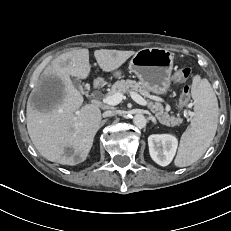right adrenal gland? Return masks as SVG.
Returning a JSON list of instances; mask_svg holds the SVG:
<instances>
[{
	"label": "right adrenal gland",
	"mask_w": 231,
	"mask_h": 231,
	"mask_svg": "<svg viewBox=\"0 0 231 231\" xmlns=\"http://www.w3.org/2000/svg\"><path fill=\"white\" fill-rule=\"evenodd\" d=\"M106 122H107V119L102 120L99 127L101 128Z\"/></svg>",
	"instance_id": "1"
}]
</instances>
